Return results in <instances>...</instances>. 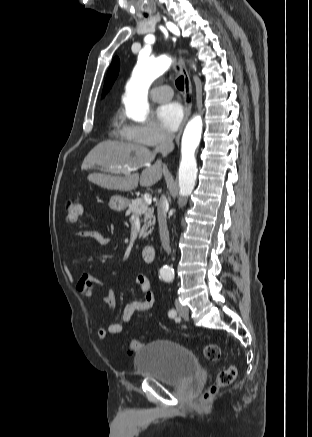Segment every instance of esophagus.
I'll list each match as a JSON object with an SVG mask.
<instances>
[{"instance_id": "esophagus-1", "label": "esophagus", "mask_w": 312, "mask_h": 437, "mask_svg": "<svg viewBox=\"0 0 312 437\" xmlns=\"http://www.w3.org/2000/svg\"><path fill=\"white\" fill-rule=\"evenodd\" d=\"M182 53V51L180 50V54ZM180 71L181 74L184 76V93H185V107H184V118L183 121L181 123L179 132L176 136V144H179L180 141V137L181 134L183 132L184 126L186 124V122L188 121L190 115H191V94H192V84H191V79L185 64V61L182 57H180Z\"/></svg>"}]
</instances>
